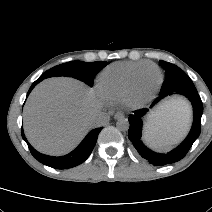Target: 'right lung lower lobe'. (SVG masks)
Masks as SVG:
<instances>
[{
  "instance_id": "98d812e1",
  "label": "right lung lower lobe",
  "mask_w": 212,
  "mask_h": 212,
  "mask_svg": "<svg viewBox=\"0 0 212 212\" xmlns=\"http://www.w3.org/2000/svg\"><path fill=\"white\" fill-rule=\"evenodd\" d=\"M43 79H45V76L41 75L32 84V86L30 87V89L27 93V96L29 95L31 90ZM101 130H102V128H96V129H93L92 131H90L88 133V135L84 138V140L80 143V145L75 150H73L68 155L61 156V157L48 156V155H44V154L37 152L28 143V141L24 135L23 129L21 131V134H22V138L27 143L31 154L40 163L47 165L49 167L55 168V169H68V168H72V167H75V166L83 163L89 157V155L91 154V152L96 144L98 135Z\"/></svg>"
}]
</instances>
